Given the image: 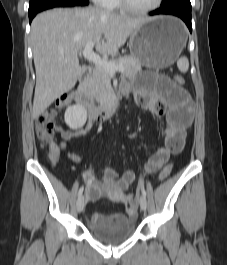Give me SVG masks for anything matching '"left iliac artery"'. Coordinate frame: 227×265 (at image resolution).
Returning <instances> with one entry per match:
<instances>
[{"instance_id": "44dca946", "label": "left iliac artery", "mask_w": 227, "mask_h": 265, "mask_svg": "<svg viewBox=\"0 0 227 265\" xmlns=\"http://www.w3.org/2000/svg\"><path fill=\"white\" fill-rule=\"evenodd\" d=\"M140 190H141L142 195L146 197V191L141 183H140Z\"/></svg>"}]
</instances>
